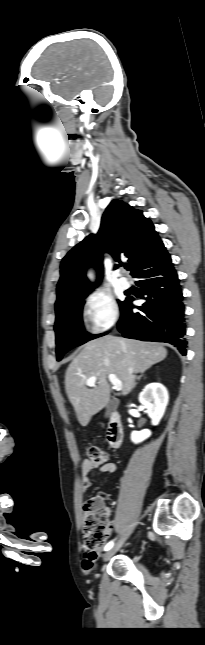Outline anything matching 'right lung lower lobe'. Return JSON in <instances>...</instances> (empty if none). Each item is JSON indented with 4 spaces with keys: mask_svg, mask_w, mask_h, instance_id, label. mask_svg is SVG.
Listing matches in <instances>:
<instances>
[{
    "mask_svg": "<svg viewBox=\"0 0 205 645\" xmlns=\"http://www.w3.org/2000/svg\"><path fill=\"white\" fill-rule=\"evenodd\" d=\"M136 284L147 302L133 312V298L126 299L121 310L118 330L126 338L166 342L182 355L187 353L185 306L177 272L170 255L151 264L139 273Z\"/></svg>",
    "mask_w": 205,
    "mask_h": 645,
    "instance_id": "98d812e1",
    "label": "right lung lower lobe"
}]
</instances>
